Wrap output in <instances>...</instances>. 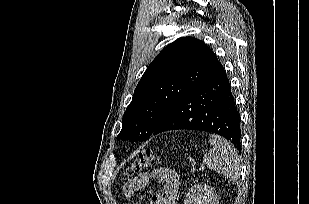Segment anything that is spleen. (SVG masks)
<instances>
[{
  "instance_id": "obj_1",
  "label": "spleen",
  "mask_w": 309,
  "mask_h": 204,
  "mask_svg": "<svg viewBox=\"0 0 309 204\" xmlns=\"http://www.w3.org/2000/svg\"><path fill=\"white\" fill-rule=\"evenodd\" d=\"M209 143L213 146L203 156L207 167L228 178L232 183L240 179V158L235 148L225 139L210 135Z\"/></svg>"
}]
</instances>
